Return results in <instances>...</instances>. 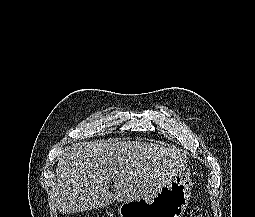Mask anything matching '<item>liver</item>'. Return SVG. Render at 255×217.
Wrapping results in <instances>:
<instances>
[{
	"instance_id": "1",
	"label": "liver",
	"mask_w": 255,
	"mask_h": 217,
	"mask_svg": "<svg viewBox=\"0 0 255 217\" xmlns=\"http://www.w3.org/2000/svg\"><path fill=\"white\" fill-rule=\"evenodd\" d=\"M187 155L146 142H79L56 167L53 201L63 214L151 197L183 173ZM113 181L115 194L109 192Z\"/></svg>"
}]
</instances>
